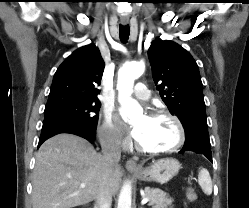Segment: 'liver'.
Returning <instances> with one entry per match:
<instances>
[{
  "instance_id": "liver-1",
  "label": "liver",
  "mask_w": 249,
  "mask_h": 208,
  "mask_svg": "<svg viewBox=\"0 0 249 208\" xmlns=\"http://www.w3.org/2000/svg\"><path fill=\"white\" fill-rule=\"evenodd\" d=\"M122 177L118 165L106 183L102 155L84 138L62 133L36 153L32 181L33 208H72L96 200L102 189L115 195ZM85 184L84 188L80 184Z\"/></svg>"
}]
</instances>
